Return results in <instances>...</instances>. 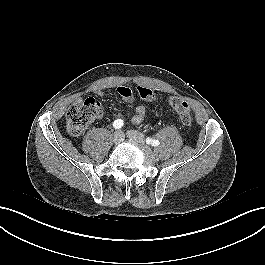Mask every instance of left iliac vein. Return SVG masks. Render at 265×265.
<instances>
[{
	"label": "left iliac vein",
	"mask_w": 265,
	"mask_h": 265,
	"mask_svg": "<svg viewBox=\"0 0 265 265\" xmlns=\"http://www.w3.org/2000/svg\"><path fill=\"white\" fill-rule=\"evenodd\" d=\"M127 137L133 141L137 142H144L145 137L142 133L135 131V130H128L127 131Z\"/></svg>",
	"instance_id": "obj_1"
}]
</instances>
